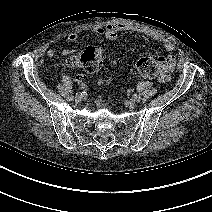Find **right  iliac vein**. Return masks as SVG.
I'll return each instance as SVG.
<instances>
[{
	"instance_id": "right-iliac-vein-1",
	"label": "right iliac vein",
	"mask_w": 212,
	"mask_h": 212,
	"mask_svg": "<svg viewBox=\"0 0 212 212\" xmlns=\"http://www.w3.org/2000/svg\"><path fill=\"white\" fill-rule=\"evenodd\" d=\"M74 99H75L76 102H80L81 99H82V96L80 94H76Z\"/></svg>"
}]
</instances>
